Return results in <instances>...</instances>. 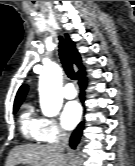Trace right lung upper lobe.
Listing matches in <instances>:
<instances>
[{
  "label": "right lung upper lobe",
  "mask_w": 135,
  "mask_h": 166,
  "mask_svg": "<svg viewBox=\"0 0 135 166\" xmlns=\"http://www.w3.org/2000/svg\"><path fill=\"white\" fill-rule=\"evenodd\" d=\"M65 39H66V43H67V48L70 51L72 58H73V62L78 65L79 67H81V57L79 55V53L77 52V50L75 49V43L73 41H71V39L69 38V36L66 34L65 35ZM28 90V86L27 85H22L15 97V101H14V107L15 106H20L25 98V95L27 93Z\"/></svg>",
  "instance_id": "cb5924a9"
}]
</instances>
